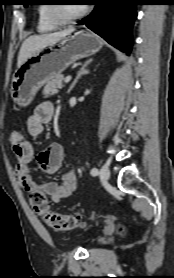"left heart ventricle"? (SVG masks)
<instances>
[{
    "label": "left heart ventricle",
    "instance_id": "b2bd125f",
    "mask_svg": "<svg viewBox=\"0 0 174 278\" xmlns=\"http://www.w3.org/2000/svg\"><path fill=\"white\" fill-rule=\"evenodd\" d=\"M83 8V5H66L63 6L62 10L66 15H74Z\"/></svg>",
    "mask_w": 174,
    "mask_h": 278
}]
</instances>
